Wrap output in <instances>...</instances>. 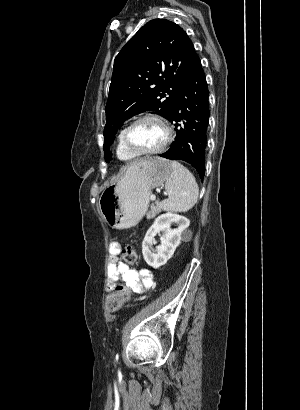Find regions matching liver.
<instances>
[{"label":"liver","mask_w":300,"mask_h":410,"mask_svg":"<svg viewBox=\"0 0 300 410\" xmlns=\"http://www.w3.org/2000/svg\"><path fill=\"white\" fill-rule=\"evenodd\" d=\"M146 162H147V160L135 161L129 167H136V166H139V165H144Z\"/></svg>","instance_id":"liver-1"}]
</instances>
